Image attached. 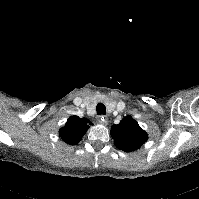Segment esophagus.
I'll list each match as a JSON object with an SVG mask.
<instances>
[{"label": "esophagus", "instance_id": "1", "mask_svg": "<svg viewBox=\"0 0 199 199\" xmlns=\"http://www.w3.org/2000/svg\"><path fill=\"white\" fill-rule=\"evenodd\" d=\"M98 121H99V123H101L103 125H107L108 124V118L106 116H100Z\"/></svg>", "mask_w": 199, "mask_h": 199}]
</instances>
